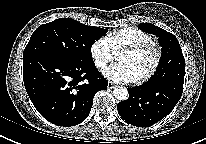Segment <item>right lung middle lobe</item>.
I'll list each match as a JSON object with an SVG mask.
<instances>
[{
	"mask_svg": "<svg viewBox=\"0 0 206 144\" xmlns=\"http://www.w3.org/2000/svg\"><path fill=\"white\" fill-rule=\"evenodd\" d=\"M107 30L71 18L56 19L39 26L28 42L24 56L47 55L77 63H90L91 46Z\"/></svg>",
	"mask_w": 206,
	"mask_h": 144,
	"instance_id": "dd1d6c3e",
	"label": "right lung middle lobe"
}]
</instances>
